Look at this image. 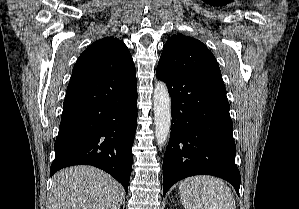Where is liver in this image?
<instances>
[{
	"label": "liver",
	"instance_id": "obj_1",
	"mask_svg": "<svg viewBox=\"0 0 299 209\" xmlns=\"http://www.w3.org/2000/svg\"><path fill=\"white\" fill-rule=\"evenodd\" d=\"M124 189L92 166H74L53 177L51 209H120Z\"/></svg>",
	"mask_w": 299,
	"mask_h": 209
}]
</instances>
